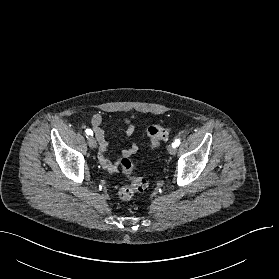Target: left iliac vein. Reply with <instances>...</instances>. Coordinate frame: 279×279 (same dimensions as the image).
I'll return each instance as SVG.
<instances>
[{
    "label": "left iliac vein",
    "instance_id": "4c4485c4",
    "mask_svg": "<svg viewBox=\"0 0 279 279\" xmlns=\"http://www.w3.org/2000/svg\"><path fill=\"white\" fill-rule=\"evenodd\" d=\"M168 152H169V154L174 155V154H176L177 149H176V147H173L172 145H170L168 147Z\"/></svg>",
    "mask_w": 279,
    "mask_h": 279
}]
</instances>
